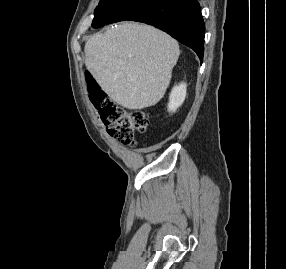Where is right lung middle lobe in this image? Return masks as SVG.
Here are the masks:
<instances>
[{
  "label": "right lung middle lobe",
  "instance_id": "obj_1",
  "mask_svg": "<svg viewBox=\"0 0 286 269\" xmlns=\"http://www.w3.org/2000/svg\"><path fill=\"white\" fill-rule=\"evenodd\" d=\"M157 0H100L95 9L93 28L128 20Z\"/></svg>",
  "mask_w": 286,
  "mask_h": 269
}]
</instances>
